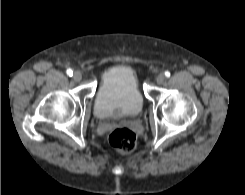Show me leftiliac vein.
<instances>
[{
	"mask_svg": "<svg viewBox=\"0 0 245 195\" xmlns=\"http://www.w3.org/2000/svg\"><path fill=\"white\" fill-rule=\"evenodd\" d=\"M164 80H165V75L163 73H160L157 75L156 82L158 84H162L164 82Z\"/></svg>",
	"mask_w": 245,
	"mask_h": 195,
	"instance_id": "1",
	"label": "left iliac vein"
}]
</instances>
